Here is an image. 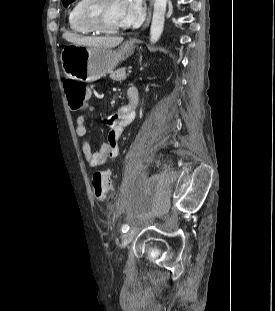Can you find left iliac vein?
Here are the masks:
<instances>
[{"label": "left iliac vein", "mask_w": 275, "mask_h": 311, "mask_svg": "<svg viewBox=\"0 0 275 311\" xmlns=\"http://www.w3.org/2000/svg\"><path fill=\"white\" fill-rule=\"evenodd\" d=\"M137 231L136 230H129L122 236V247L127 246L132 239L135 237Z\"/></svg>", "instance_id": "4c4485c4"}]
</instances>
